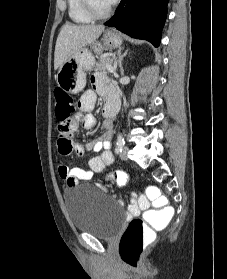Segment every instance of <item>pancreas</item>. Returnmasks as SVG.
I'll return each mask as SVG.
<instances>
[{
    "label": "pancreas",
    "instance_id": "pancreas-1",
    "mask_svg": "<svg viewBox=\"0 0 227 279\" xmlns=\"http://www.w3.org/2000/svg\"><path fill=\"white\" fill-rule=\"evenodd\" d=\"M113 65V59L109 58V57H103L100 58L99 61L96 63V66L94 68L95 71H108L107 70V66Z\"/></svg>",
    "mask_w": 227,
    "mask_h": 279
}]
</instances>
